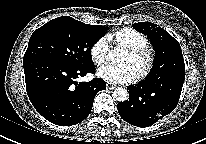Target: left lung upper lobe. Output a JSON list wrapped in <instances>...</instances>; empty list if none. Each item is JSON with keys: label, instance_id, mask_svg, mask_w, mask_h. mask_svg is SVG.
Wrapping results in <instances>:
<instances>
[{"label": "left lung upper lobe", "instance_id": "left-lung-upper-lobe-1", "mask_svg": "<svg viewBox=\"0 0 206 144\" xmlns=\"http://www.w3.org/2000/svg\"><path fill=\"white\" fill-rule=\"evenodd\" d=\"M133 27L150 39L155 50L153 68L141 83L151 85L161 81L166 75L185 71L180 44L166 30L150 22H138Z\"/></svg>", "mask_w": 206, "mask_h": 144}]
</instances>
